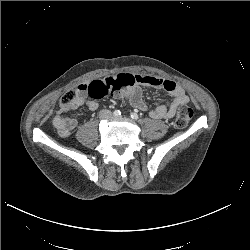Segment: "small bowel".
<instances>
[{
  "label": "small bowel",
  "mask_w": 250,
  "mask_h": 250,
  "mask_svg": "<svg viewBox=\"0 0 250 250\" xmlns=\"http://www.w3.org/2000/svg\"><path fill=\"white\" fill-rule=\"evenodd\" d=\"M109 87L110 94L117 99H128L131 105L141 111L147 110V105L143 100L142 87L164 89L173 96L172 102L162 104L150 111V116L154 119L172 118L179 106L188 103L189 98L182 87L174 81L144 74L119 73L108 76L104 79ZM89 83L81 84L78 87V98L74 108L85 105L89 110L94 111L98 108V102L94 99H87V86ZM52 123L60 137L66 138L76 128L78 120L75 118H65L55 115Z\"/></svg>",
  "instance_id": "obj_1"
}]
</instances>
